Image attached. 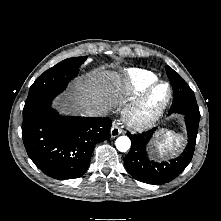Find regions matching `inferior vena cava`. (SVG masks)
<instances>
[{"mask_svg": "<svg viewBox=\"0 0 221 221\" xmlns=\"http://www.w3.org/2000/svg\"><path fill=\"white\" fill-rule=\"evenodd\" d=\"M88 115H95V116H100L102 115V112L101 110L99 109H90L88 112H87Z\"/></svg>", "mask_w": 221, "mask_h": 221, "instance_id": "inferior-vena-cava-1", "label": "inferior vena cava"}]
</instances>
